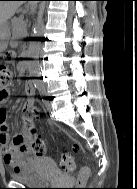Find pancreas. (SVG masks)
Masks as SVG:
<instances>
[{
    "label": "pancreas",
    "instance_id": "cf45deb5",
    "mask_svg": "<svg viewBox=\"0 0 137 189\" xmlns=\"http://www.w3.org/2000/svg\"><path fill=\"white\" fill-rule=\"evenodd\" d=\"M27 24L23 21V17L12 19V31L15 38H22L27 35Z\"/></svg>",
    "mask_w": 137,
    "mask_h": 189
}]
</instances>
